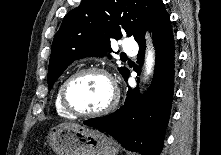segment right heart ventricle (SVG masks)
Segmentation results:
<instances>
[{"label":"right heart ventricle","instance_id":"obj_1","mask_svg":"<svg viewBox=\"0 0 221 155\" xmlns=\"http://www.w3.org/2000/svg\"><path fill=\"white\" fill-rule=\"evenodd\" d=\"M63 84V83H62ZM62 84L59 86L57 93H56V97H55V108L57 113L65 118H73L74 116H72L71 114H69L61 105V101H60V90L62 87Z\"/></svg>","mask_w":221,"mask_h":155}]
</instances>
